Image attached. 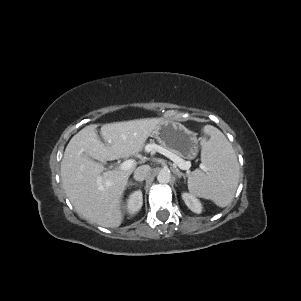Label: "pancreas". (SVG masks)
Listing matches in <instances>:
<instances>
[{"instance_id": "obj_1", "label": "pancreas", "mask_w": 301, "mask_h": 301, "mask_svg": "<svg viewBox=\"0 0 301 301\" xmlns=\"http://www.w3.org/2000/svg\"><path fill=\"white\" fill-rule=\"evenodd\" d=\"M152 144H154V143H152ZM164 148V147H163ZM165 149V148H164ZM167 150V149H166ZM169 151V150H168ZM169 152H171V151H169ZM172 154H175V153H173V152H171ZM176 155V154H175Z\"/></svg>"}]
</instances>
